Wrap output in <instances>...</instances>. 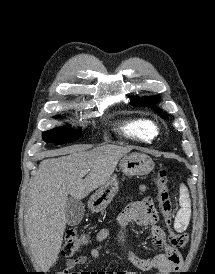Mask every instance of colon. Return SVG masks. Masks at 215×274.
Returning <instances> with one entry per match:
<instances>
[{"label": "colon", "mask_w": 215, "mask_h": 274, "mask_svg": "<svg viewBox=\"0 0 215 274\" xmlns=\"http://www.w3.org/2000/svg\"><path fill=\"white\" fill-rule=\"evenodd\" d=\"M167 170L161 167L158 170L156 185H157V199L159 208L164 216L165 225L170 228L172 224L173 202L167 184ZM87 239L84 235L71 229L66 232L64 244L62 247V255L70 257L80 251L86 244ZM170 242L173 246L183 247L188 242V237L183 233H176L174 231L170 234Z\"/></svg>", "instance_id": "colon-1"}]
</instances>
